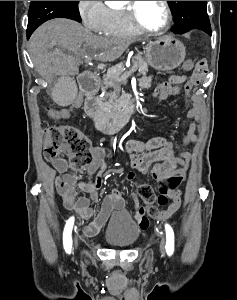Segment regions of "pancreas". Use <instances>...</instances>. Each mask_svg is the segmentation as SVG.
Listing matches in <instances>:
<instances>
[{
  "label": "pancreas",
  "mask_w": 237,
  "mask_h": 300,
  "mask_svg": "<svg viewBox=\"0 0 237 300\" xmlns=\"http://www.w3.org/2000/svg\"><path fill=\"white\" fill-rule=\"evenodd\" d=\"M132 63L137 67L136 71L138 69L139 75H146V73H148V65L142 55H135L132 59ZM122 73L123 69H119V67H111V69H108V73L103 75V81L101 83L102 91H107V89L116 87V85H122L123 81L120 79L123 76ZM106 99L107 101L102 103V111H104L106 117L118 119L121 105L117 95H115V93H107Z\"/></svg>",
  "instance_id": "pancreas-1"
}]
</instances>
